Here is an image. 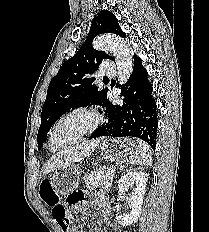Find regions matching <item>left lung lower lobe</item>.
<instances>
[{
    "label": "left lung lower lobe",
    "mask_w": 209,
    "mask_h": 232,
    "mask_svg": "<svg viewBox=\"0 0 209 232\" xmlns=\"http://www.w3.org/2000/svg\"><path fill=\"white\" fill-rule=\"evenodd\" d=\"M141 59L134 55L132 75L121 88L122 103L107 102L105 114L107 124L97 128L90 138L102 136L137 137L156 146L158 118L156 102L152 96V85Z\"/></svg>",
    "instance_id": "left-lung-lower-lobe-1"
}]
</instances>
